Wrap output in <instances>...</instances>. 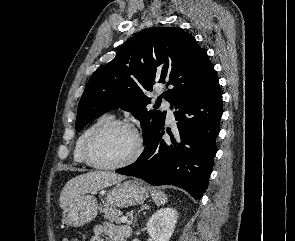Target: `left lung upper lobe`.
<instances>
[{
    "label": "left lung upper lobe",
    "instance_id": "left-lung-upper-lobe-1",
    "mask_svg": "<svg viewBox=\"0 0 295 241\" xmlns=\"http://www.w3.org/2000/svg\"><path fill=\"white\" fill-rule=\"evenodd\" d=\"M216 76L207 52L179 27L150 28L128 40L116 57L91 76L78 105L76 130L121 107L140 120L145 146L165 121V112L147 110L144 92L170 87L161 97L176 105Z\"/></svg>",
    "mask_w": 295,
    "mask_h": 241
}]
</instances>
